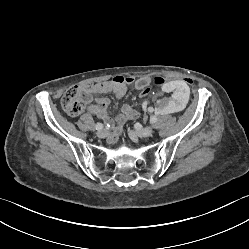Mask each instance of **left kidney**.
<instances>
[{"mask_svg":"<svg viewBox=\"0 0 249 249\" xmlns=\"http://www.w3.org/2000/svg\"><path fill=\"white\" fill-rule=\"evenodd\" d=\"M162 90L167 95L153 105L152 110L155 114L169 118L173 113H181L188 106L190 88L186 81L169 80L163 85Z\"/></svg>","mask_w":249,"mask_h":249,"instance_id":"5707ae66","label":"left kidney"}]
</instances>
